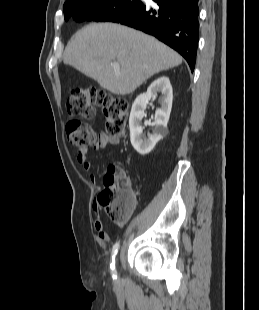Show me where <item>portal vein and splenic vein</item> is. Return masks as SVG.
<instances>
[{
    "label": "portal vein and splenic vein",
    "mask_w": 259,
    "mask_h": 310,
    "mask_svg": "<svg viewBox=\"0 0 259 310\" xmlns=\"http://www.w3.org/2000/svg\"><path fill=\"white\" fill-rule=\"evenodd\" d=\"M112 67H113L115 70H119V69H120L119 63H112Z\"/></svg>",
    "instance_id": "1"
}]
</instances>
